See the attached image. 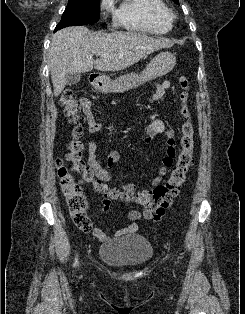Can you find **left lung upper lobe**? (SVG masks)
Masks as SVG:
<instances>
[{
  "label": "left lung upper lobe",
  "instance_id": "obj_1",
  "mask_svg": "<svg viewBox=\"0 0 245 314\" xmlns=\"http://www.w3.org/2000/svg\"><path fill=\"white\" fill-rule=\"evenodd\" d=\"M176 4H179V1L178 0H173Z\"/></svg>",
  "mask_w": 245,
  "mask_h": 314
}]
</instances>
